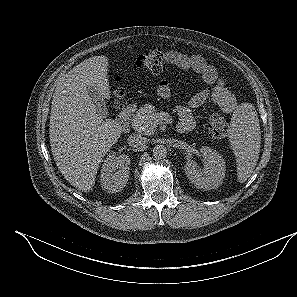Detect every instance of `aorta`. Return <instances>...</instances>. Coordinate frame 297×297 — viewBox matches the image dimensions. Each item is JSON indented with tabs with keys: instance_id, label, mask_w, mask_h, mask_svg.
I'll use <instances>...</instances> for the list:
<instances>
[{
	"instance_id": "1",
	"label": "aorta",
	"mask_w": 297,
	"mask_h": 297,
	"mask_svg": "<svg viewBox=\"0 0 297 297\" xmlns=\"http://www.w3.org/2000/svg\"><path fill=\"white\" fill-rule=\"evenodd\" d=\"M153 156L157 159H163L167 156V148L164 145H156L153 148Z\"/></svg>"
}]
</instances>
